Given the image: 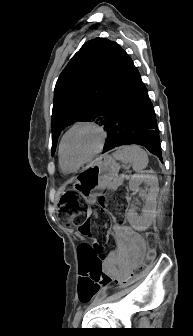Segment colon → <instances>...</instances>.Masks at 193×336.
I'll return each mask as SVG.
<instances>
[{
    "label": "colon",
    "instance_id": "5ec220e1",
    "mask_svg": "<svg viewBox=\"0 0 193 336\" xmlns=\"http://www.w3.org/2000/svg\"><path fill=\"white\" fill-rule=\"evenodd\" d=\"M61 211L66 215V225L78 227L84 237H93L94 241L90 246L81 247L79 250V265L83 273H88V281L98 286H105L110 282L103 266L105 251L114 245V240L107 232L111 223L112 214H121L124 206L118 202H109L106 197L100 196L93 208H86L74 192H66L62 195L59 203ZM82 216H85L82 219ZM156 254V242L152 235L147 236V258L153 259ZM137 271L121 280V283H128L135 279ZM83 299L88 296L85 290L81 291Z\"/></svg>",
    "mask_w": 193,
    "mask_h": 336
}]
</instances>
